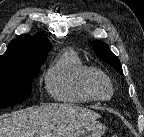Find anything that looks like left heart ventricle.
Wrapping results in <instances>:
<instances>
[{"mask_svg": "<svg viewBox=\"0 0 144 137\" xmlns=\"http://www.w3.org/2000/svg\"><path fill=\"white\" fill-rule=\"evenodd\" d=\"M97 90L100 95L102 96H109L110 95V87L107 83L103 81H99L97 84Z\"/></svg>", "mask_w": 144, "mask_h": 137, "instance_id": "1", "label": "left heart ventricle"}]
</instances>
